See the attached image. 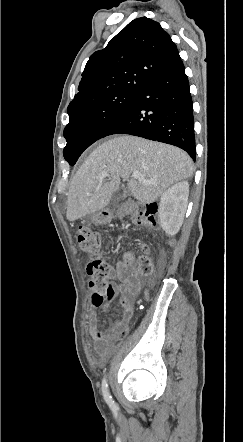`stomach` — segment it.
<instances>
[{
  "label": "stomach",
  "instance_id": "0dacf381",
  "mask_svg": "<svg viewBox=\"0 0 243 442\" xmlns=\"http://www.w3.org/2000/svg\"><path fill=\"white\" fill-rule=\"evenodd\" d=\"M113 217L112 211L109 209H102L98 212H95L89 216V220L91 223L95 225H103L111 221Z\"/></svg>",
  "mask_w": 243,
  "mask_h": 442
}]
</instances>
